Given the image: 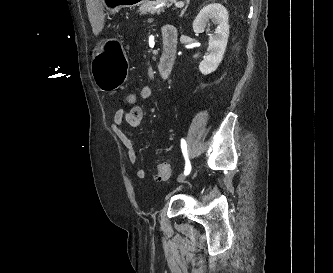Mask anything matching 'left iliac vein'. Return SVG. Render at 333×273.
Listing matches in <instances>:
<instances>
[{
	"mask_svg": "<svg viewBox=\"0 0 333 273\" xmlns=\"http://www.w3.org/2000/svg\"><path fill=\"white\" fill-rule=\"evenodd\" d=\"M184 179H185V176L181 175V176L178 177L177 182L178 183L183 182Z\"/></svg>",
	"mask_w": 333,
	"mask_h": 273,
	"instance_id": "4c4485c4",
	"label": "left iliac vein"
}]
</instances>
